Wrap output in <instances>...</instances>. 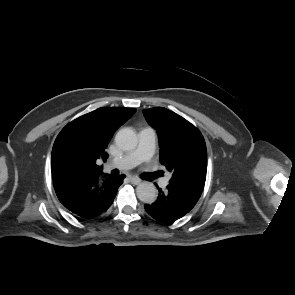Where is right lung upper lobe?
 <instances>
[{
    "label": "right lung upper lobe",
    "instance_id": "obj_1",
    "mask_svg": "<svg viewBox=\"0 0 295 295\" xmlns=\"http://www.w3.org/2000/svg\"><path fill=\"white\" fill-rule=\"evenodd\" d=\"M135 111L134 108L103 107L67 124L52 149L53 183L80 181L102 174V167L96 161L108 157L105 150L114 132Z\"/></svg>",
    "mask_w": 295,
    "mask_h": 295
}]
</instances>
